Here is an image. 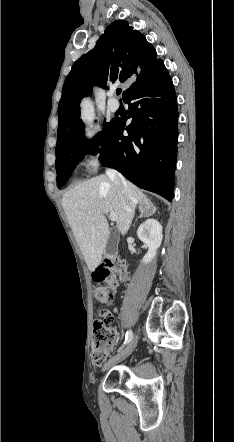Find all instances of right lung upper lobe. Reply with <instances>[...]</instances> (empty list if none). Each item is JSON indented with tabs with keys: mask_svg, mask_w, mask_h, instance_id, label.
<instances>
[{
	"mask_svg": "<svg viewBox=\"0 0 234 442\" xmlns=\"http://www.w3.org/2000/svg\"><path fill=\"white\" fill-rule=\"evenodd\" d=\"M156 57L153 45L128 22L117 20L110 24L95 48L73 64L64 82L58 107L56 148L83 126L79 120V103L90 95L94 84L108 89L115 82L135 78L138 81L162 63ZM127 91L123 92V98Z\"/></svg>",
	"mask_w": 234,
	"mask_h": 442,
	"instance_id": "right-lung-upper-lobe-1",
	"label": "right lung upper lobe"
}]
</instances>
